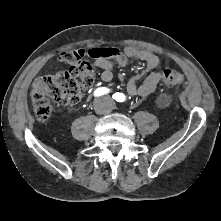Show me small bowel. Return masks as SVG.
Returning <instances> with one entry per match:
<instances>
[{
	"mask_svg": "<svg viewBox=\"0 0 221 221\" xmlns=\"http://www.w3.org/2000/svg\"><path fill=\"white\" fill-rule=\"evenodd\" d=\"M105 49L109 51L108 55L94 58V66L102 70V81L110 82L113 79V68L115 66L124 67L129 59L136 58L143 62L144 67L128 81L127 93L130 96L145 97L156 90L162 79V72L158 70L160 60L156 55L131 46L126 47L123 51L111 47ZM145 74L148 75L139 83L140 78Z\"/></svg>",
	"mask_w": 221,
	"mask_h": 221,
	"instance_id": "obj_1",
	"label": "small bowel"
}]
</instances>
